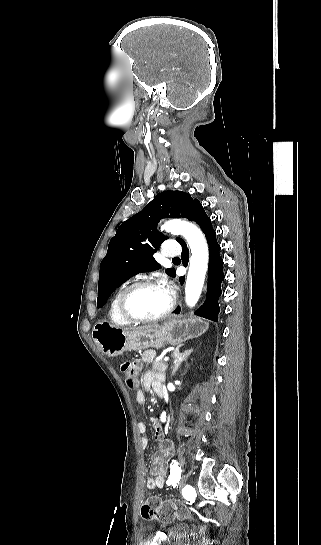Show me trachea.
I'll list each match as a JSON object with an SVG mask.
<instances>
[{
  "instance_id": "1",
  "label": "trachea",
  "mask_w": 321,
  "mask_h": 545,
  "mask_svg": "<svg viewBox=\"0 0 321 545\" xmlns=\"http://www.w3.org/2000/svg\"><path fill=\"white\" fill-rule=\"evenodd\" d=\"M172 261H173V262H175V261H180V258H179V257L172 258Z\"/></svg>"
}]
</instances>
